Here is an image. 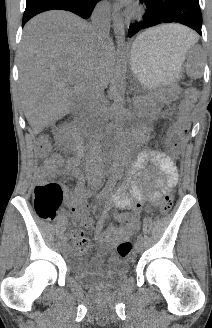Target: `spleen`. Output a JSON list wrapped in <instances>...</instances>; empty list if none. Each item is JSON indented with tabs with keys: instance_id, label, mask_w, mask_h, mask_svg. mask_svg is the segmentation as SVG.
I'll return each instance as SVG.
<instances>
[{
	"instance_id": "1",
	"label": "spleen",
	"mask_w": 212,
	"mask_h": 328,
	"mask_svg": "<svg viewBox=\"0 0 212 328\" xmlns=\"http://www.w3.org/2000/svg\"><path fill=\"white\" fill-rule=\"evenodd\" d=\"M143 38H151V37H150L149 35H147V32H144V33L140 34V35L136 38V40H135V44H138V43L143 44V43H144V41L142 40ZM193 43H194V42H189V43L185 46V48H184V59H185V55H186V52H187L188 48H189ZM188 73H189L190 75L192 74L190 70L188 71ZM199 75H200L199 73L196 74L197 77H198Z\"/></svg>"
}]
</instances>
